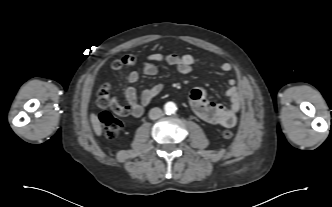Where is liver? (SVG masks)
Wrapping results in <instances>:
<instances>
[{
  "label": "liver",
  "mask_w": 332,
  "mask_h": 207,
  "mask_svg": "<svg viewBox=\"0 0 332 207\" xmlns=\"http://www.w3.org/2000/svg\"><path fill=\"white\" fill-rule=\"evenodd\" d=\"M90 121L93 127V130L95 132V134L97 136H101L102 135V127H101V123L97 117V115H95L94 113H91L90 115Z\"/></svg>",
  "instance_id": "liver-1"
}]
</instances>
